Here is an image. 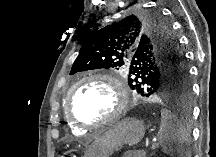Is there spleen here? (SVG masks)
Segmentation results:
<instances>
[{
  "label": "spleen",
  "mask_w": 216,
  "mask_h": 157,
  "mask_svg": "<svg viewBox=\"0 0 216 157\" xmlns=\"http://www.w3.org/2000/svg\"><path fill=\"white\" fill-rule=\"evenodd\" d=\"M162 150L180 157L190 155V133L185 125L169 110H161V123L157 134Z\"/></svg>",
  "instance_id": "obj_1"
}]
</instances>
